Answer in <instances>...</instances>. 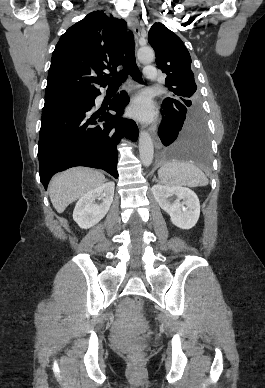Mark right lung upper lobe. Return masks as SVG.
Instances as JSON below:
<instances>
[{"instance_id":"obj_1","label":"right lung upper lobe","mask_w":265,"mask_h":388,"mask_svg":"<svg viewBox=\"0 0 265 388\" xmlns=\"http://www.w3.org/2000/svg\"><path fill=\"white\" fill-rule=\"evenodd\" d=\"M126 24L103 11L89 13L64 33L52 54L45 100L87 96L105 86L102 73L111 74L123 61Z\"/></svg>"}]
</instances>
